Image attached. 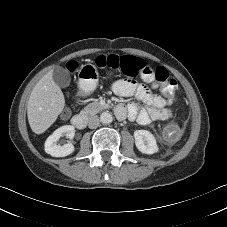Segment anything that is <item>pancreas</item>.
Returning <instances> with one entry per match:
<instances>
[{
    "label": "pancreas",
    "instance_id": "cf45deb5",
    "mask_svg": "<svg viewBox=\"0 0 227 227\" xmlns=\"http://www.w3.org/2000/svg\"><path fill=\"white\" fill-rule=\"evenodd\" d=\"M104 108H105V105H102L100 102L95 101L87 105L82 111V113L87 115H94L102 111Z\"/></svg>",
    "mask_w": 227,
    "mask_h": 227
}]
</instances>
